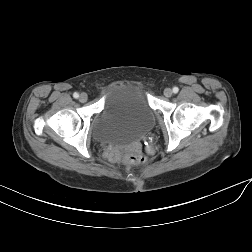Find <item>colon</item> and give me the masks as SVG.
<instances>
[{
  "label": "colon",
  "instance_id": "5ec220e1",
  "mask_svg": "<svg viewBox=\"0 0 252 252\" xmlns=\"http://www.w3.org/2000/svg\"><path fill=\"white\" fill-rule=\"evenodd\" d=\"M124 160L128 164H132V165H140V164H143L145 162L144 156L142 154H140V153L127 154L124 157Z\"/></svg>",
  "mask_w": 252,
  "mask_h": 252
}]
</instances>
